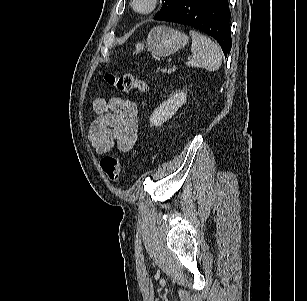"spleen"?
<instances>
[{"mask_svg": "<svg viewBox=\"0 0 307 301\" xmlns=\"http://www.w3.org/2000/svg\"><path fill=\"white\" fill-rule=\"evenodd\" d=\"M192 37L191 51L193 58L186 65L216 71L222 63L219 46L210 38L196 31H190Z\"/></svg>", "mask_w": 307, "mask_h": 301, "instance_id": "1", "label": "spleen"}]
</instances>
